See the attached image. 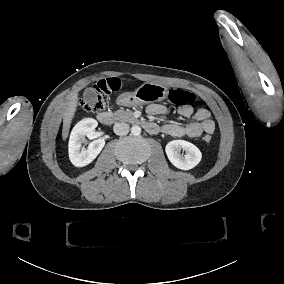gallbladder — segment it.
<instances>
[{
	"label": "gallbladder",
	"mask_w": 284,
	"mask_h": 284,
	"mask_svg": "<svg viewBox=\"0 0 284 284\" xmlns=\"http://www.w3.org/2000/svg\"><path fill=\"white\" fill-rule=\"evenodd\" d=\"M83 100L87 103L90 107H95L98 100V92L94 88L87 87L83 92Z\"/></svg>",
	"instance_id": "1"
}]
</instances>
